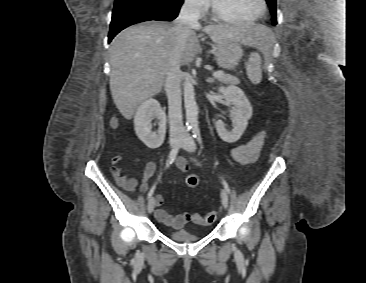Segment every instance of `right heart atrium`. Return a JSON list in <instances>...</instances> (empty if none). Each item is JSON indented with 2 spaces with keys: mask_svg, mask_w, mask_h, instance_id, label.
Masks as SVG:
<instances>
[{
  "mask_svg": "<svg viewBox=\"0 0 366 283\" xmlns=\"http://www.w3.org/2000/svg\"><path fill=\"white\" fill-rule=\"evenodd\" d=\"M185 7L195 15H203L208 8V0H185Z\"/></svg>",
  "mask_w": 366,
  "mask_h": 283,
  "instance_id": "right-heart-atrium-1",
  "label": "right heart atrium"
}]
</instances>
